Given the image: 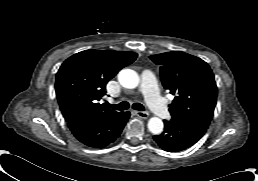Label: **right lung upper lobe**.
<instances>
[{
  "label": "right lung upper lobe",
  "mask_w": 258,
  "mask_h": 181,
  "mask_svg": "<svg viewBox=\"0 0 258 181\" xmlns=\"http://www.w3.org/2000/svg\"><path fill=\"white\" fill-rule=\"evenodd\" d=\"M137 57L134 52L86 50L69 57L56 75L55 90L60 110L68 124L86 119H105L116 112L100 99L106 84Z\"/></svg>",
  "instance_id": "obj_1"
}]
</instances>
